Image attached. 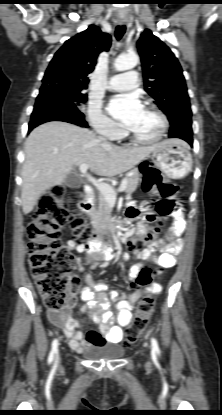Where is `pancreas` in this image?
Instances as JSON below:
<instances>
[{
    "instance_id": "obj_1",
    "label": "pancreas",
    "mask_w": 222,
    "mask_h": 415,
    "mask_svg": "<svg viewBox=\"0 0 222 415\" xmlns=\"http://www.w3.org/2000/svg\"><path fill=\"white\" fill-rule=\"evenodd\" d=\"M126 179L127 186L125 192L127 194H131L136 190L138 186L140 175L137 170H133V174L131 176H128ZM98 200V206L94 209L93 213L91 214V223L93 224V226L109 228L112 222H114V218L110 217L109 203L102 193H100Z\"/></svg>"
}]
</instances>
